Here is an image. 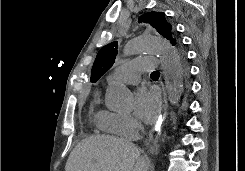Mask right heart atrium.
I'll return each instance as SVG.
<instances>
[{
    "instance_id": "d8ad5b80",
    "label": "right heart atrium",
    "mask_w": 245,
    "mask_h": 171,
    "mask_svg": "<svg viewBox=\"0 0 245 171\" xmlns=\"http://www.w3.org/2000/svg\"><path fill=\"white\" fill-rule=\"evenodd\" d=\"M137 121L130 115L109 112L101 120L100 128L108 133L133 138L138 131Z\"/></svg>"
}]
</instances>
